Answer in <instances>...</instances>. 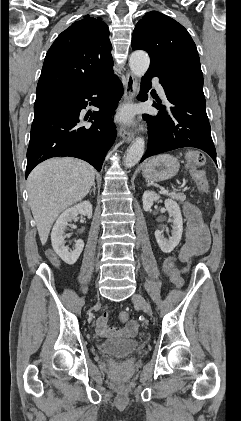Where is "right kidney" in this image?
<instances>
[{
    "label": "right kidney",
    "instance_id": "ca27d5eb",
    "mask_svg": "<svg viewBox=\"0 0 241 421\" xmlns=\"http://www.w3.org/2000/svg\"><path fill=\"white\" fill-rule=\"evenodd\" d=\"M81 214L87 218L92 217V204L89 201H83L79 204L66 209L56 220L51 233L52 247L56 254L67 264L73 265L78 260L84 248V242L81 239L75 241L73 250L65 245L64 232L70 222Z\"/></svg>",
    "mask_w": 241,
    "mask_h": 421
}]
</instances>
